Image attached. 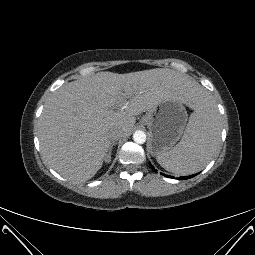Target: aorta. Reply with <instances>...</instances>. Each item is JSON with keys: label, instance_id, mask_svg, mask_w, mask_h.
Wrapping results in <instances>:
<instances>
[{"label": "aorta", "instance_id": "obj_1", "mask_svg": "<svg viewBox=\"0 0 255 255\" xmlns=\"http://www.w3.org/2000/svg\"><path fill=\"white\" fill-rule=\"evenodd\" d=\"M133 140L137 144L145 143V141H146V134H145V132L141 131V130L135 131V133L133 134Z\"/></svg>", "mask_w": 255, "mask_h": 255}]
</instances>
